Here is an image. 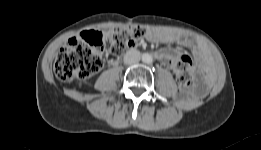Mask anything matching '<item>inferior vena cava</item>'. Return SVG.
<instances>
[{"instance_id": "602c4592", "label": "inferior vena cava", "mask_w": 261, "mask_h": 150, "mask_svg": "<svg viewBox=\"0 0 261 150\" xmlns=\"http://www.w3.org/2000/svg\"><path fill=\"white\" fill-rule=\"evenodd\" d=\"M141 54L136 49H130L124 55V63L128 65L136 64L140 61Z\"/></svg>"}]
</instances>
